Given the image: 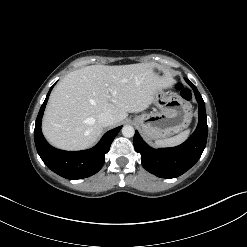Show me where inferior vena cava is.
<instances>
[{
	"label": "inferior vena cava",
	"instance_id": "1",
	"mask_svg": "<svg viewBox=\"0 0 247 247\" xmlns=\"http://www.w3.org/2000/svg\"><path fill=\"white\" fill-rule=\"evenodd\" d=\"M98 123L103 127H107L115 123V118L111 113L104 112L99 115Z\"/></svg>",
	"mask_w": 247,
	"mask_h": 247
}]
</instances>
